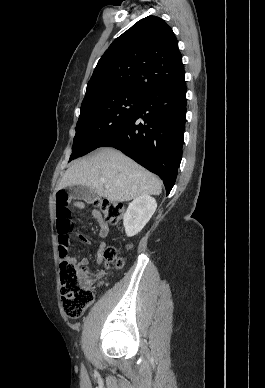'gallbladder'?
I'll use <instances>...</instances> for the list:
<instances>
[{
	"label": "gallbladder",
	"instance_id": "obj_1",
	"mask_svg": "<svg viewBox=\"0 0 265 388\" xmlns=\"http://www.w3.org/2000/svg\"><path fill=\"white\" fill-rule=\"evenodd\" d=\"M66 190H68L69 196L73 200H93V198H97L91 188H86V186H67Z\"/></svg>",
	"mask_w": 265,
	"mask_h": 388
}]
</instances>
